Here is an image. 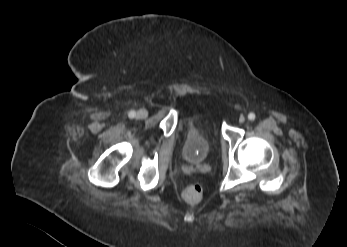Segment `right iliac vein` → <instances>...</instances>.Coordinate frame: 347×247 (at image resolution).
I'll return each instance as SVG.
<instances>
[{
	"label": "right iliac vein",
	"instance_id": "right-iliac-vein-1",
	"mask_svg": "<svg viewBox=\"0 0 347 247\" xmlns=\"http://www.w3.org/2000/svg\"><path fill=\"white\" fill-rule=\"evenodd\" d=\"M148 116V111L144 108L138 110L137 114H136V118L137 119H145Z\"/></svg>",
	"mask_w": 347,
	"mask_h": 247
}]
</instances>
